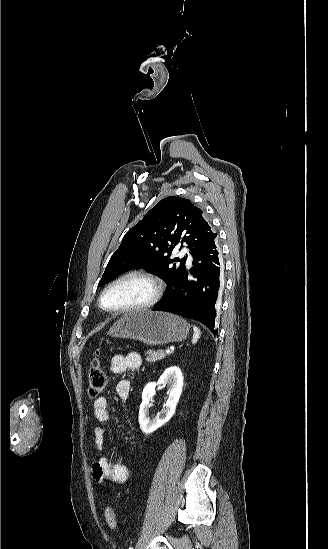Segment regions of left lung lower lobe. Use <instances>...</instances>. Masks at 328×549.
I'll use <instances>...</instances> for the list:
<instances>
[{"instance_id":"0a47b994","label":"left lung lower lobe","mask_w":328,"mask_h":549,"mask_svg":"<svg viewBox=\"0 0 328 549\" xmlns=\"http://www.w3.org/2000/svg\"><path fill=\"white\" fill-rule=\"evenodd\" d=\"M190 273L194 279H188L185 269L172 291L153 310L198 320L217 334L216 317L224 284L220 249L215 239L193 255Z\"/></svg>"}]
</instances>
